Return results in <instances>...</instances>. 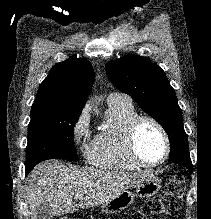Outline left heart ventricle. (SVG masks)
<instances>
[{
	"label": "left heart ventricle",
	"instance_id": "left-heart-ventricle-1",
	"mask_svg": "<svg viewBox=\"0 0 211 219\" xmlns=\"http://www.w3.org/2000/svg\"><path fill=\"white\" fill-rule=\"evenodd\" d=\"M137 151L147 163H156L164 154V140L160 131L150 122H142L136 134Z\"/></svg>",
	"mask_w": 211,
	"mask_h": 219
}]
</instances>
